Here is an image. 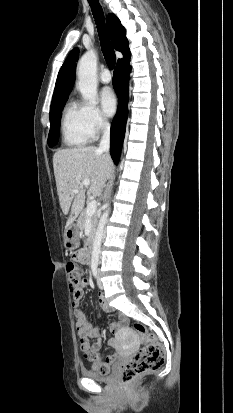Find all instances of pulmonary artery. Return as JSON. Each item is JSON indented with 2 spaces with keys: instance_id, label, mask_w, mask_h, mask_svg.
<instances>
[{
  "instance_id": "1",
  "label": "pulmonary artery",
  "mask_w": 233,
  "mask_h": 413,
  "mask_svg": "<svg viewBox=\"0 0 233 413\" xmlns=\"http://www.w3.org/2000/svg\"><path fill=\"white\" fill-rule=\"evenodd\" d=\"M99 80L104 84L110 83L112 80V76L109 70L107 69L103 70L99 75Z\"/></svg>"
}]
</instances>
